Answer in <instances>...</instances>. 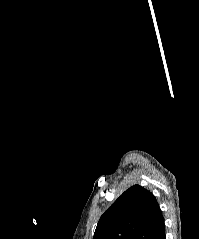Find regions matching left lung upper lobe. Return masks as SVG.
<instances>
[{
  "label": "left lung upper lobe",
  "mask_w": 199,
  "mask_h": 239,
  "mask_svg": "<svg viewBox=\"0 0 199 239\" xmlns=\"http://www.w3.org/2000/svg\"><path fill=\"white\" fill-rule=\"evenodd\" d=\"M161 219L154 195L134 185L101 216L93 239H150Z\"/></svg>",
  "instance_id": "obj_1"
}]
</instances>
